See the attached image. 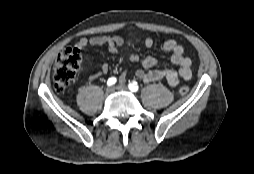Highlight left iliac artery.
I'll return each mask as SVG.
<instances>
[{
    "label": "left iliac artery",
    "mask_w": 254,
    "mask_h": 174,
    "mask_svg": "<svg viewBox=\"0 0 254 174\" xmlns=\"http://www.w3.org/2000/svg\"><path fill=\"white\" fill-rule=\"evenodd\" d=\"M129 89L132 91V92H137L139 87H138V84L137 82H132L128 85Z\"/></svg>",
    "instance_id": "obj_1"
}]
</instances>
